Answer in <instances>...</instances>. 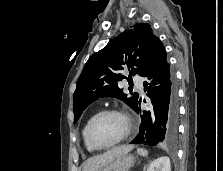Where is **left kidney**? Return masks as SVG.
<instances>
[{
	"label": "left kidney",
	"mask_w": 223,
	"mask_h": 171,
	"mask_svg": "<svg viewBox=\"0 0 223 171\" xmlns=\"http://www.w3.org/2000/svg\"><path fill=\"white\" fill-rule=\"evenodd\" d=\"M146 171H171L170 159L167 156L157 158L147 168Z\"/></svg>",
	"instance_id": "obj_1"
}]
</instances>
